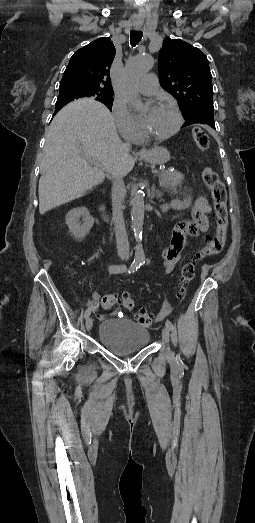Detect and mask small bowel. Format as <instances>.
I'll return each mask as SVG.
<instances>
[{"label":"small bowel","instance_id":"c3829d8e","mask_svg":"<svg viewBox=\"0 0 255 523\" xmlns=\"http://www.w3.org/2000/svg\"><path fill=\"white\" fill-rule=\"evenodd\" d=\"M171 208L178 211L189 210L192 219L177 223L169 246L160 251L162 264L165 266L164 275L169 274L181 260L188 236H197L200 232H206L210 228L208 214L211 212V207L204 197H198L195 200L191 198L174 200L171 203ZM108 270L112 274H118L125 272L126 266L109 265ZM99 298V294L93 295L94 304H97Z\"/></svg>","mask_w":255,"mask_h":523}]
</instances>
